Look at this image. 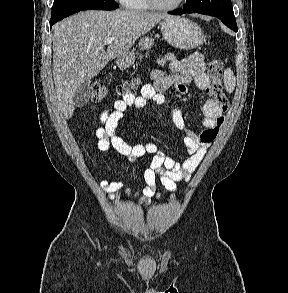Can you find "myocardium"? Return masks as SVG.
<instances>
[{"mask_svg": "<svg viewBox=\"0 0 288 293\" xmlns=\"http://www.w3.org/2000/svg\"><path fill=\"white\" fill-rule=\"evenodd\" d=\"M147 2L150 5V7L154 9L162 11H172L177 9L182 4L183 0H176L173 4L170 5L160 4L156 0H147Z\"/></svg>", "mask_w": 288, "mask_h": 293, "instance_id": "myocardium-1", "label": "myocardium"}]
</instances>
